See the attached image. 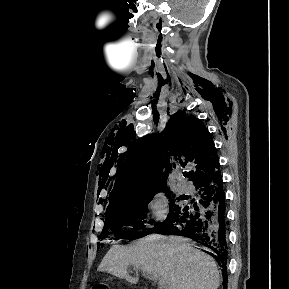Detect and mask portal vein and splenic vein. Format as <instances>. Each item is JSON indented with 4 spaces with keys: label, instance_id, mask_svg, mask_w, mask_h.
Segmentation results:
<instances>
[{
    "label": "portal vein and splenic vein",
    "instance_id": "18ae733b",
    "mask_svg": "<svg viewBox=\"0 0 289 289\" xmlns=\"http://www.w3.org/2000/svg\"><path fill=\"white\" fill-rule=\"evenodd\" d=\"M160 288L163 289L164 287V282L162 280H159Z\"/></svg>",
    "mask_w": 289,
    "mask_h": 289
}]
</instances>
